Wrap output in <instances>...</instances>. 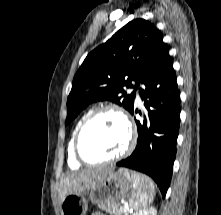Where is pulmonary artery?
I'll return each instance as SVG.
<instances>
[{
  "label": "pulmonary artery",
  "instance_id": "pulmonary-artery-1",
  "mask_svg": "<svg viewBox=\"0 0 221 215\" xmlns=\"http://www.w3.org/2000/svg\"><path fill=\"white\" fill-rule=\"evenodd\" d=\"M136 98H137V100H140V95H139V90L138 89H136Z\"/></svg>",
  "mask_w": 221,
  "mask_h": 215
}]
</instances>
